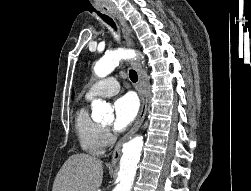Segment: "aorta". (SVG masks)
<instances>
[{
    "label": "aorta",
    "instance_id": "aorta-1",
    "mask_svg": "<svg viewBox=\"0 0 251 191\" xmlns=\"http://www.w3.org/2000/svg\"><path fill=\"white\" fill-rule=\"evenodd\" d=\"M135 50H128V48H117L113 52H107L99 62L94 66V72L98 78H106L118 66L121 60H131L135 58ZM92 117L94 121L99 119H109L113 117V109L106 101L102 99H93L92 103ZM143 149V137L137 135L134 139H130L124 143L119 169L120 183L118 191H131L132 183L134 181L137 163L140 159L141 151Z\"/></svg>",
    "mask_w": 251,
    "mask_h": 191
}]
</instances>
